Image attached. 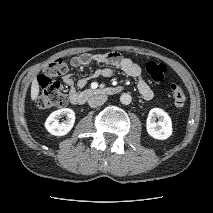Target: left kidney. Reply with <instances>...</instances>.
Listing matches in <instances>:
<instances>
[{"label":"left kidney","instance_id":"1","mask_svg":"<svg viewBox=\"0 0 213 213\" xmlns=\"http://www.w3.org/2000/svg\"><path fill=\"white\" fill-rule=\"evenodd\" d=\"M156 117L159 119L156 122ZM146 129L148 134L157 140H165L172 135V121L170 116L160 108H153L149 111Z\"/></svg>","mask_w":213,"mask_h":213}]
</instances>
